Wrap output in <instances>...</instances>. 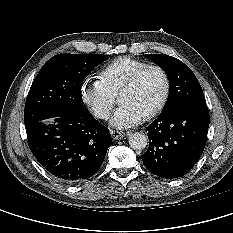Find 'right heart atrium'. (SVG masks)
Returning a JSON list of instances; mask_svg holds the SVG:
<instances>
[{
    "label": "right heart atrium",
    "mask_w": 233,
    "mask_h": 233,
    "mask_svg": "<svg viewBox=\"0 0 233 233\" xmlns=\"http://www.w3.org/2000/svg\"><path fill=\"white\" fill-rule=\"evenodd\" d=\"M82 101L100 119H107L114 108L115 96L100 78L85 80L80 88Z\"/></svg>",
    "instance_id": "obj_1"
}]
</instances>
